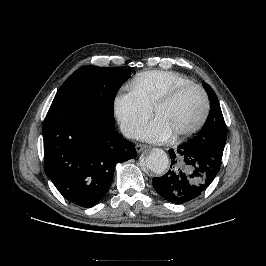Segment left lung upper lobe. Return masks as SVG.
<instances>
[{
    "label": "left lung upper lobe",
    "mask_w": 266,
    "mask_h": 266,
    "mask_svg": "<svg viewBox=\"0 0 266 266\" xmlns=\"http://www.w3.org/2000/svg\"><path fill=\"white\" fill-rule=\"evenodd\" d=\"M203 87L210 99V112L202 130L186 145L222 160L227 137L225 121L215 92L207 83Z\"/></svg>",
    "instance_id": "left-lung-upper-lobe-1"
}]
</instances>
